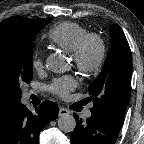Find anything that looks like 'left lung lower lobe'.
<instances>
[{
    "label": "left lung lower lobe",
    "mask_w": 144,
    "mask_h": 144,
    "mask_svg": "<svg viewBox=\"0 0 144 144\" xmlns=\"http://www.w3.org/2000/svg\"><path fill=\"white\" fill-rule=\"evenodd\" d=\"M76 128L71 144H114L123 122L99 110L91 109L86 122L74 115Z\"/></svg>",
    "instance_id": "left-lung-lower-lobe-1"
}]
</instances>
